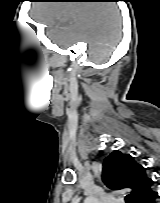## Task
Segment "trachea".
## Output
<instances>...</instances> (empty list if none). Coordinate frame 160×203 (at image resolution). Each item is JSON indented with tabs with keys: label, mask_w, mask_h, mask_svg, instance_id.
Instances as JSON below:
<instances>
[{
	"label": "trachea",
	"mask_w": 160,
	"mask_h": 203,
	"mask_svg": "<svg viewBox=\"0 0 160 203\" xmlns=\"http://www.w3.org/2000/svg\"><path fill=\"white\" fill-rule=\"evenodd\" d=\"M126 203H132V198L130 197V195H127L125 197Z\"/></svg>",
	"instance_id": "1"
}]
</instances>
